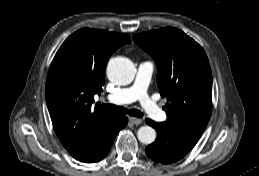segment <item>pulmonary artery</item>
Wrapping results in <instances>:
<instances>
[{
    "mask_svg": "<svg viewBox=\"0 0 259 176\" xmlns=\"http://www.w3.org/2000/svg\"><path fill=\"white\" fill-rule=\"evenodd\" d=\"M154 71L151 62L140 63L134 83L118 89L106 97L107 101L115 105L129 104L139 101L145 113L155 120H163L165 114L159 105L148 95L147 88Z\"/></svg>",
    "mask_w": 259,
    "mask_h": 176,
    "instance_id": "1",
    "label": "pulmonary artery"
}]
</instances>
